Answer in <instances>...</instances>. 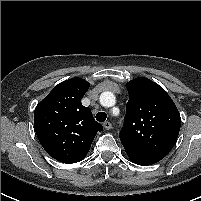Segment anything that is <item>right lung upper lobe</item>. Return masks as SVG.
I'll return each instance as SVG.
<instances>
[{"label": "right lung upper lobe", "instance_id": "cb5924a9", "mask_svg": "<svg viewBox=\"0 0 201 201\" xmlns=\"http://www.w3.org/2000/svg\"><path fill=\"white\" fill-rule=\"evenodd\" d=\"M90 84L72 78L58 84L35 108L34 127L45 151L63 163H76L87 155L103 126L81 103Z\"/></svg>", "mask_w": 201, "mask_h": 201}]
</instances>
